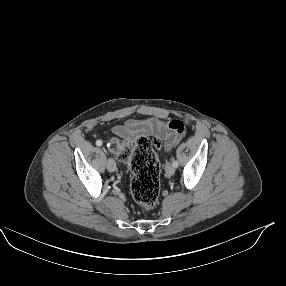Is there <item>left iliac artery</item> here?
<instances>
[{"instance_id":"left-iliac-artery-1","label":"left iliac artery","mask_w":286,"mask_h":286,"mask_svg":"<svg viewBox=\"0 0 286 286\" xmlns=\"http://www.w3.org/2000/svg\"><path fill=\"white\" fill-rule=\"evenodd\" d=\"M172 165H173L174 167H178L179 163H178V161L173 160Z\"/></svg>"}]
</instances>
